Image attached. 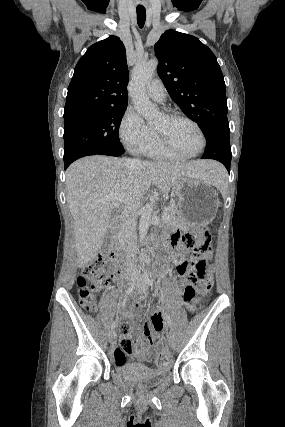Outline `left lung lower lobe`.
<instances>
[{"instance_id": "left-lung-lower-lobe-1", "label": "left lung lower lobe", "mask_w": 285, "mask_h": 427, "mask_svg": "<svg viewBox=\"0 0 285 427\" xmlns=\"http://www.w3.org/2000/svg\"><path fill=\"white\" fill-rule=\"evenodd\" d=\"M207 144L202 158L214 159L226 167L230 172L231 148H230V130L213 129L206 133Z\"/></svg>"}]
</instances>
